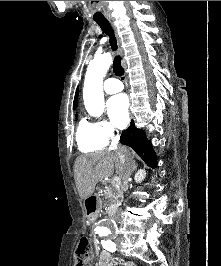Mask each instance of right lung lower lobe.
Returning a JSON list of instances; mask_svg holds the SVG:
<instances>
[{
  "mask_svg": "<svg viewBox=\"0 0 221 266\" xmlns=\"http://www.w3.org/2000/svg\"><path fill=\"white\" fill-rule=\"evenodd\" d=\"M120 142L131 147L148 166L152 168L157 166L156 153L151 142L148 141L143 130L135 127L133 120L128 129L121 134Z\"/></svg>",
  "mask_w": 221,
  "mask_h": 266,
  "instance_id": "1",
  "label": "right lung lower lobe"
}]
</instances>
